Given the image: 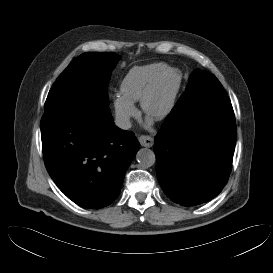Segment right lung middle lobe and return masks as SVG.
I'll return each instance as SVG.
<instances>
[{"instance_id": "1", "label": "right lung middle lobe", "mask_w": 273, "mask_h": 273, "mask_svg": "<svg viewBox=\"0 0 273 273\" xmlns=\"http://www.w3.org/2000/svg\"><path fill=\"white\" fill-rule=\"evenodd\" d=\"M119 60L120 56L113 52H87L75 58L50 89L44 111L57 103L83 97L109 104L108 84Z\"/></svg>"}]
</instances>
